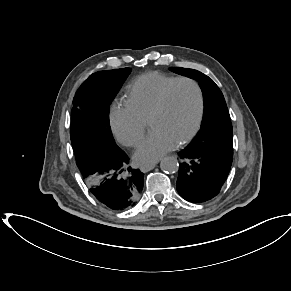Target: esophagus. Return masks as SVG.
<instances>
[{
	"label": "esophagus",
	"instance_id": "esophagus-1",
	"mask_svg": "<svg viewBox=\"0 0 291 291\" xmlns=\"http://www.w3.org/2000/svg\"><path fill=\"white\" fill-rule=\"evenodd\" d=\"M158 164V161L157 162H154V163H150V164H146V165H142L140 167V170L141 171H150L152 170L156 165Z\"/></svg>",
	"mask_w": 291,
	"mask_h": 291
}]
</instances>
